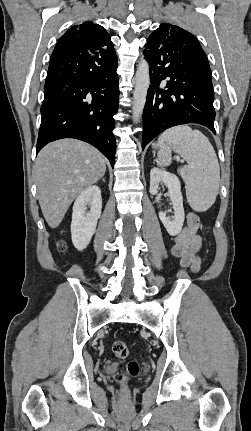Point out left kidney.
Instances as JSON below:
<instances>
[{
    "mask_svg": "<svg viewBox=\"0 0 251 431\" xmlns=\"http://www.w3.org/2000/svg\"><path fill=\"white\" fill-rule=\"evenodd\" d=\"M160 183L165 184L168 188L170 200L174 209V217L173 220H170L168 217H166L164 212L160 211L159 218L166 228L168 234L171 236H176L181 232L185 218L181 184L175 174L154 167L150 171L149 191L152 195L157 194Z\"/></svg>",
    "mask_w": 251,
    "mask_h": 431,
    "instance_id": "left-kidney-1",
    "label": "left kidney"
}]
</instances>
